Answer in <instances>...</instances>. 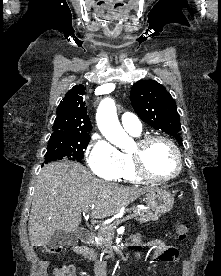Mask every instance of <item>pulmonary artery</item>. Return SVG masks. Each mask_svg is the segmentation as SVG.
Instances as JSON below:
<instances>
[{"instance_id":"pulmonary-artery-1","label":"pulmonary artery","mask_w":221,"mask_h":276,"mask_svg":"<svg viewBox=\"0 0 221 276\" xmlns=\"http://www.w3.org/2000/svg\"><path fill=\"white\" fill-rule=\"evenodd\" d=\"M121 123L124 129L133 134H140L142 131V124L139 118L132 113H124L121 117Z\"/></svg>"}]
</instances>
